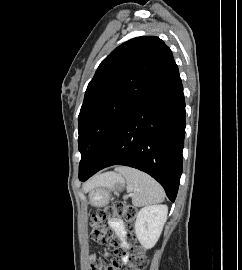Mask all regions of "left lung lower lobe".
<instances>
[{"instance_id":"left-lung-lower-lobe-1","label":"left lung lower lobe","mask_w":242,"mask_h":270,"mask_svg":"<svg viewBox=\"0 0 242 270\" xmlns=\"http://www.w3.org/2000/svg\"><path fill=\"white\" fill-rule=\"evenodd\" d=\"M185 100L176 63L118 125L82 181L112 165H126L156 179L174 202L182 174Z\"/></svg>"}]
</instances>
